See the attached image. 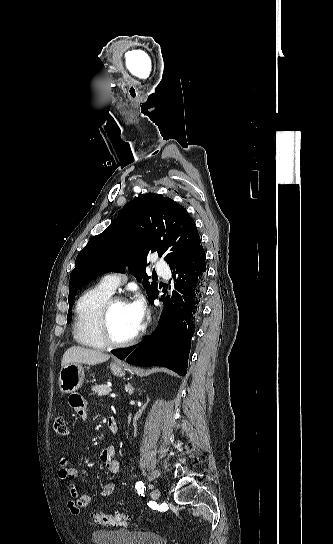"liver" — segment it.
Here are the masks:
<instances>
[{
	"instance_id": "obj_1",
	"label": "liver",
	"mask_w": 333,
	"mask_h": 544,
	"mask_svg": "<svg viewBox=\"0 0 333 544\" xmlns=\"http://www.w3.org/2000/svg\"><path fill=\"white\" fill-rule=\"evenodd\" d=\"M110 355L100 351L88 349L80 346H72L66 350L63 355L61 366L69 363H83L88 365H96L107 361Z\"/></svg>"
}]
</instances>
